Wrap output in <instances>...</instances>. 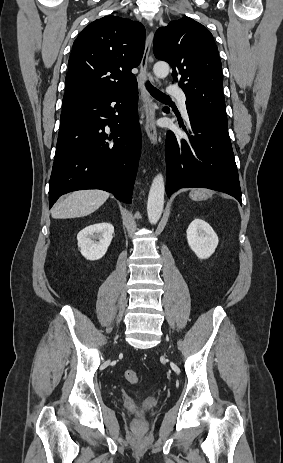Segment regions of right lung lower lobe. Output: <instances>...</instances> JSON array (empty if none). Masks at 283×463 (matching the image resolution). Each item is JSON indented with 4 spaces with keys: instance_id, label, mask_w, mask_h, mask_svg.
I'll use <instances>...</instances> for the list:
<instances>
[{
    "instance_id": "98d812e1",
    "label": "right lung lower lobe",
    "mask_w": 283,
    "mask_h": 463,
    "mask_svg": "<svg viewBox=\"0 0 283 463\" xmlns=\"http://www.w3.org/2000/svg\"><path fill=\"white\" fill-rule=\"evenodd\" d=\"M137 98L136 83L62 112L49 208L61 195L82 189H102L131 202L141 151Z\"/></svg>"
}]
</instances>
